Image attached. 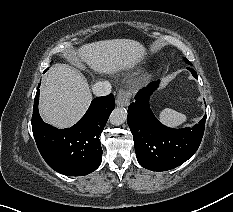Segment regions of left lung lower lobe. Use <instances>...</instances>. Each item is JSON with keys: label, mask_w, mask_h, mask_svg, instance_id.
<instances>
[{"label": "left lung lower lobe", "mask_w": 233, "mask_h": 212, "mask_svg": "<svg viewBox=\"0 0 233 212\" xmlns=\"http://www.w3.org/2000/svg\"><path fill=\"white\" fill-rule=\"evenodd\" d=\"M197 78L196 72L188 68ZM159 81L151 82L135 96L127 122L133 134L137 160L152 171H166L187 161L198 149L205 128L203 119L192 128L172 129L162 125L149 107V98Z\"/></svg>", "instance_id": "left-lung-lower-lobe-1"}]
</instances>
